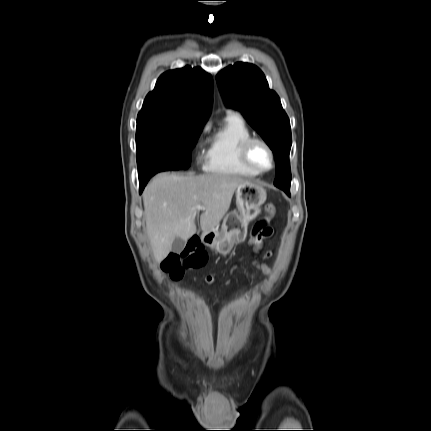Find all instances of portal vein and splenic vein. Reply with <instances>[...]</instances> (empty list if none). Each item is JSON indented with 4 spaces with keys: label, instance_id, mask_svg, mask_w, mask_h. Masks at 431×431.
I'll list each match as a JSON object with an SVG mask.
<instances>
[{
    "label": "portal vein and splenic vein",
    "instance_id": "obj_1",
    "mask_svg": "<svg viewBox=\"0 0 431 431\" xmlns=\"http://www.w3.org/2000/svg\"><path fill=\"white\" fill-rule=\"evenodd\" d=\"M196 209H197V210H203L204 208H203L200 204H198V205L196 206Z\"/></svg>",
    "mask_w": 431,
    "mask_h": 431
}]
</instances>
